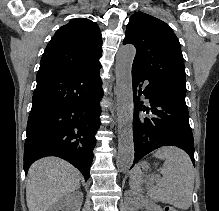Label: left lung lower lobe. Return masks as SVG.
I'll list each match as a JSON object with an SVG mask.
<instances>
[{
  "label": "left lung lower lobe",
  "instance_id": "1",
  "mask_svg": "<svg viewBox=\"0 0 219 211\" xmlns=\"http://www.w3.org/2000/svg\"><path fill=\"white\" fill-rule=\"evenodd\" d=\"M144 81H148L149 84L142 91L141 82ZM132 82L135 108L134 164L146 154L163 146H176L183 149L190 155L194 164V139L185 100L154 84L139 71L132 70ZM141 95L148 98V101H140ZM141 111L149 117L141 116Z\"/></svg>",
  "mask_w": 219,
  "mask_h": 211
}]
</instances>
